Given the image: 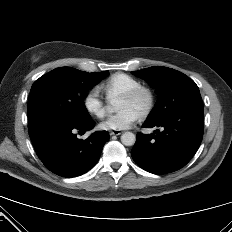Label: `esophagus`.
Wrapping results in <instances>:
<instances>
[{"label": "esophagus", "mask_w": 232, "mask_h": 232, "mask_svg": "<svg viewBox=\"0 0 232 232\" xmlns=\"http://www.w3.org/2000/svg\"><path fill=\"white\" fill-rule=\"evenodd\" d=\"M122 132L121 131H119V130H115V131H110L109 132V134L112 136V135H116V136H118V135H120Z\"/></svg>", "instance_id": "obj_1"}]
</instances>
